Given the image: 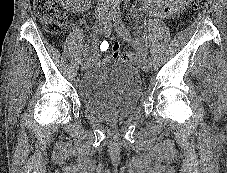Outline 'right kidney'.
<instances>
[{"mask_svg":"<svg viewBox=\"0 0 227 173\" xmlns=\"http://www.w3.org/2000/svg\"><path fill=\"white\" fill-rule=\"evenodd\" d=\"M59 1L63 7H69V6L74 7V4H76L80 0H59Z\"/></svg>","mask_w":227,"mask_h":173,"instance_id":"ca27d5eb","label":"right kidney"}]
</instances>
